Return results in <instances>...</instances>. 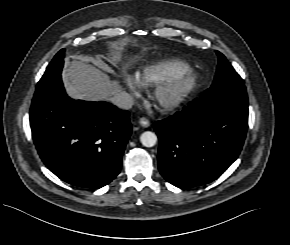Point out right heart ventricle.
<instances>
[{
    "mask_svg": "<svg viewBox=\"0 0 290 245\" xmlns=\"http://www.w3.org/2000/svg\"><path fill=\"white\" fill-rule=\"evenodd\" d=\"M187 69H189V64L181 60H159L137 70L134 73L133 80L139 88L148 89L167 76Z\"/></svg>",
    "mask_w": 290,
    "mask_h": 245,
    "instance_id": "e07e8e85",
    "label": "right heart ventricle"
}]
</instances>
